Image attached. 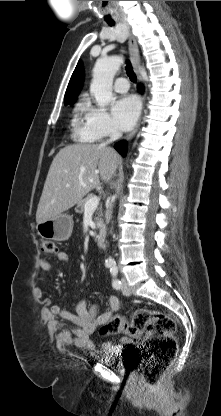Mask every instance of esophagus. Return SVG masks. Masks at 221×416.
Instances as JSON below:
<instances>
[{"label": "esophagus", "mask_w": 221, "mask_h": 416, "mask_svg": "<svg viewBox=\"0 0 221 416\" xmlns=\"http://www.w3.org/2000/svg\"><path fill=\"white\" fill-rule=\"evenodd\" d=\"M128 45H129V53H130V58H131L134 71L138 79L141 81V76L139 73L140 54H139L137 40L132 33H129ZM143 99H145V94L143 95ZM139 126L140 124H138L136 128L126 137V140H130L131 138L134 137V135L138 131Z\"/></svg>", "instance_id": "obj_1"}]
</instances>
